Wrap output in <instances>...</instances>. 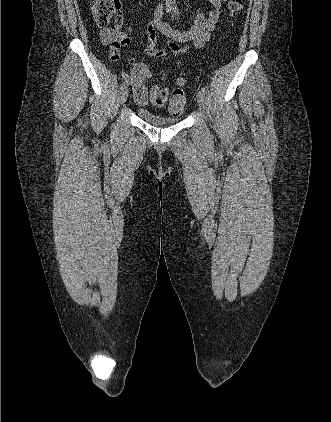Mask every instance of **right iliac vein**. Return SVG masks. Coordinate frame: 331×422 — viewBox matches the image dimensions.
Masks as SVG:
<instances>
[{"instance_id": "obj_1", "label": "right iliac vein", "mask_w": 331, "mask_h": 422, "mask_svg": "<svg viewBox=\"0 0 331 422\" xmlns=\"http://www.w3.org/2000/svg\"><path fill=\"white\" fill-rule=\"evenodd\" d=\"M128 98V89L125 87L121 90L120 96H119V103L123 104Z\"/></svg>"}]
</instances>
